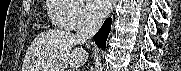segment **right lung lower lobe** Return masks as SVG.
Instances as JSON below:
<instances>
[{
    "mask_svg": "<svg viewBox=\"0 0 181 71\" xmlns=\"http://www.w3.org/2000/svg\"><path fill=\"white\" fill-rule=\"evenodd\" d=\"M111 23V18L106 19L101 29L94 35L95 43L101 48L106 47V40L111 30Z\"/></svg>",
    "mask_w": 181,
    "mask_h": 71,
    "instance_id": "98d812e1",
    "label": "right lung lower lobe"
}]
</instances>
